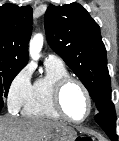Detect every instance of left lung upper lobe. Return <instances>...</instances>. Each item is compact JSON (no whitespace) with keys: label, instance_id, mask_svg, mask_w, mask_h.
Segmentation results:
<instances>
[{"label":"left lung upper lobe","instance_id":"5c2ea615","mask_svg":"<svg viewBox=\"0 0 119 141\" xmlns=\"http://www.w3.org/2000/svg\"><path fill=\"white\" fill-rule=\"evenodd\" d=\"M44 21L50 47L78 76L100 112L112 102L106 49L99 25L78 3L50 5Z\"/></svg>","mask_w":119,"mask_h":141}]
</instances>
